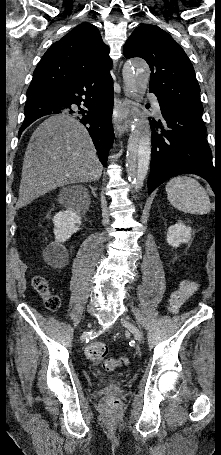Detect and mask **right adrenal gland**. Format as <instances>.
<instances>
[{
    "label": "right adrenal gland",
    "mask_w": 221,
    "mask_h": 455,
    "mask_svg": "<svg viewBox=\"0 0 221 455\" xmlns=\"http://www.w3.org/2000/svg\"><path fill=\"white\" fill-rule=\"evenodd\" d=\"M90 189H91V191H92L93 195L96 197V193H95V191L97 190V188H93V187H91V186H90Z\"/></svg>",
    "instance_id": "2a0ac1e0"
}]
</instances>
